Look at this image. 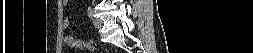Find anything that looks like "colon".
I'll return each mask as SVG.
<instances>
[{
    "mask_svg": "<svg viewBox=\"0 0 253 53\" xmlns=\"http://www.w3.org/2000/svg\"><path fill=\"white\" fill-rule=\"evenodd\" d=\"M97 47L96 42L90 40H78V48L95 50Z\"/></svg>",
    "mask_w": 253,
    "mask_h": 53,
    "instance_id": "5ec220e1",
    "label": "colon"
}]
</instances>
